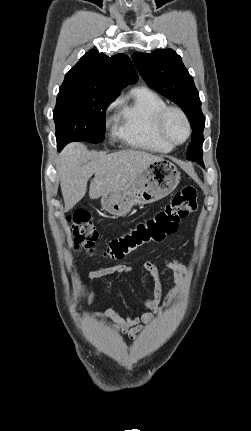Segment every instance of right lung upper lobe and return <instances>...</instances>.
<instances>
[{
    "label": "right lung upper lobe",
    "instance_id": "obj_1",
    "mask_svg": "<svg viewBox=\"0 0 251 431\" xmlns=\"http://www.w3.org/2000/svg\"><path fill=\"white\" fill-rule=\"evenodd\" d=\"M137 79L138 75L128 56L116 54L108 57L92 49L66 73L62 85L118 96L122 88L135 83Z\"/></svg>",
    "mask_w": 251,
    "mask_h": 431
}]
</instances>
